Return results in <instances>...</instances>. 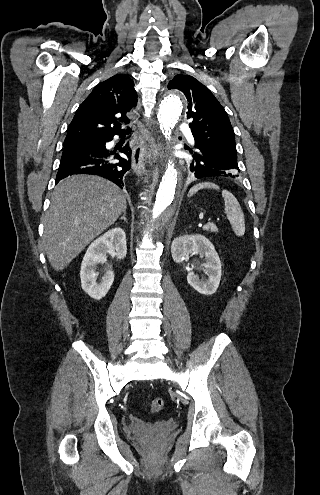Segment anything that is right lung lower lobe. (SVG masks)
I'll return each mask as SVG.
<instances>
[{"label": "right lung lower lobe", "mask_w": 320, "mask_h": 495, "mask_svg": "<svg viewBox=\"0 0 320 495\" xmlns=\"http://www.w3.org/2000/svg\"><path fill=\"white\" fill-rule=\"evenodd\" d=\"M128 131L105 136L96 143L64 146L55 183L57 184L61 179L73 174H92L107 178L122 188L123 177L131 168V148L127 143L120 150L129 160L117 154L114 158L120 162L112 163L113 153L106 149L105 144L111 141L114 135L119 134L120 137H124Z\"/></svg>", "instance_id": "1"}]
</instances>
